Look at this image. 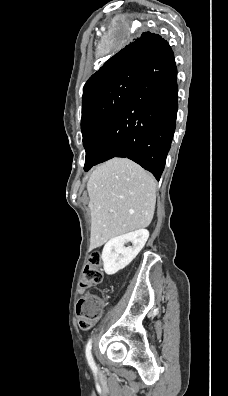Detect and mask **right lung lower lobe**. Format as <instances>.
<instances>
[{"instance_id": "1", "label": "right lung lower lobe", "mask_w": 228, "mask_h": 396, "mask_svg": "<svg viewBox=\"0 0 228 396\" xmlns=\"http://www.w3.org/2000/svg\"><path fill=\"white\" fill-rule=\"evenodd\" d=\"M177 69L168 43L142 64V73L116 116L94 163L126 157L150 171L163 172L176 126Z\"/></svg>"}]
</instances>
